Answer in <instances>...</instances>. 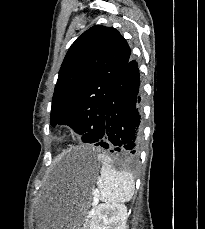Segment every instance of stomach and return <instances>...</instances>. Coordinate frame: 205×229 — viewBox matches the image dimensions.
<instances>
[{
  "label": "stomach",
  "mask_w": 205,
  "mask_h": 229,
  "mask_svg": "<svg viewBox=\"0 0 205 229\" xmlns=\"http://www.w3.org/2000/svg\"><path fill=\"white\" fill-rule=\"evenodd\" d=\"M80 166L83 176L90 185L98 171L99 159L92 151L81 150ZM92 198L87 188L82 201L69 205L63 197L46 196L38 199L32 213L33 229H81L85 210Z\"/></svg>",
  "instance_id": "obj_1"
}]
</instances>
